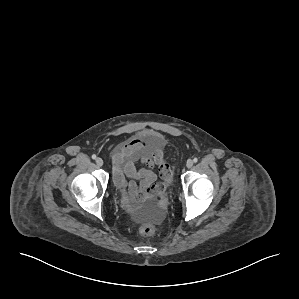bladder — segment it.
I'll return each mask as SVG.
<instances>
[{
	"label": "bladder",
	"instance_id": "obj_1",
	"mask_svg": "<svg viewBox=\"0 0 299 299\" xmlns=\"http://www.w3.org/2000/svg\"><path fill=\"white\" fill-rule=\"evenodd\" d=\"M145 138H146L148 144H151V145H158L161 142L160 137H158L157 135H155L153 133H147Z\"/></svg>",
	"mask_w": 299,
	"mask_h": 299
}]
</instances>
